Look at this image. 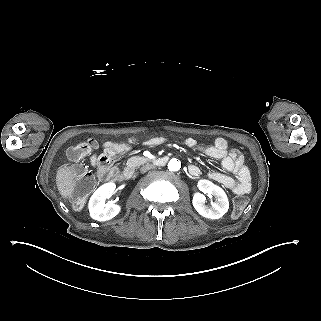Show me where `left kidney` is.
Here are the masks:
<instances>
[{
	"mask_svg": "<svg viewBox=\"0 0 321 321\" xmlns=\"http://www.w3.org/2000/svg\"><path fill=\"white\" fill-rule=\"evenodd\" d=\"M197 186L203 193L214 196L216 201L211 202V207H208L205 205V195L195 193L192 201L195 210L206 218H221L229 209V201L224 190L206 179L199 180Z\"/></svg>",
	"mask_w": 321,
	"mask_h": 321,
	"instance_id": "obj_1",
	"label": "left kidney"
}]
</instances>
